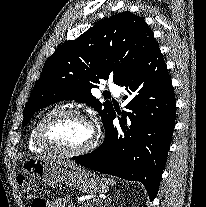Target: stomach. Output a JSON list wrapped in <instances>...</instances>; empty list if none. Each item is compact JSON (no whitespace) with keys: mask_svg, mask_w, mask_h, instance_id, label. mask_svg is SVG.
Wrapping results in <instances>:
<instances>
[{"mask_svg":"<svg viewBox=\"0 0 206 207\" xmlns=\"http://www.w3.org/2000/svg\"><path fill=\"white\" fill-rule=\"evenodd\" d=\"M22 171L48 186L65 183L87 194H101L109 190L113 181L100 178L82 167H67L58 160L27 158L22 162Z\"/></svg>","mask_w":206,"mask_h":207,"instance_id":"1","label":"stomach"}]
</instances>
